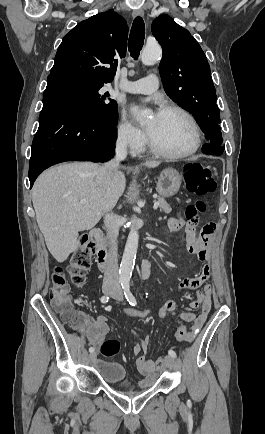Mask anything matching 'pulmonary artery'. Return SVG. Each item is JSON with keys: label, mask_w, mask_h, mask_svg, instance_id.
Here are the masks:
<instances>
[{"label": "pulmonary artery", "mask_w": 265, "mask_h": 434, "mask_svg": "<svg viewBox=\"0 0 265 434\" xmlns=\"http://www.w3.org/2000/svg\"><path fill=\"white\" fill-rule=\"evenodd\" d=\"M158 81L159 78L157 75L150 74L141 78L139 81H122L119 87L129 93L148 94L158 89Z\"/></svg>", "instance_id": "pulmonary-artery-1"}]
</instances>
